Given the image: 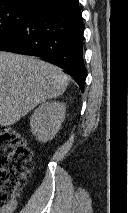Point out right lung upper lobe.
<instances>
[{
    "mask_svg": "<svg viewBox=\"0 0 128 213\" xmlns=\"http://www.w3.org/2000/svg\"><path fill=\"white\" fill-rule=\"evenodd\" d=\"M40 0H0V7L3 6H21L33 8Z\"/></svg>",
    "mask_w": 128,
    "mask_h": 213,
    "instance_id": "right-lung-upper-lobe-1",
    "label": "right lung upper lobe"
}]
</instances>
